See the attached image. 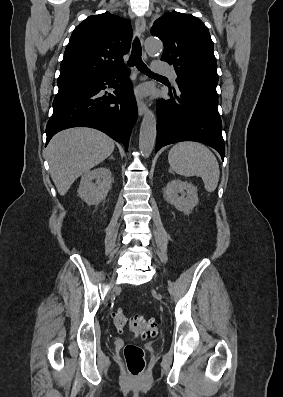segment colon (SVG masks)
<instances>
[{
  "label": "colon",
  "mask_w": 283,
  "mask_h": 397,
  "mask_svg": "<svg viewBox=\"0 0 283 397\" xmlns=\"http://www.w3.org/2000/svg\"><path fill=\"white\" fill-rule=\"evenodd\" d=\"M114 326L119 330H124L127 326L129 330L142 339L154 337L157 334V323L154 319H146L142 316H133L128 319L123 310L118 308L112 313ZM124 359L128 373L133 377H139L145 370L144 350L136 344H127L124 348Z\"/></svg>",
  "instance_id": "colon-1"
}]
</instances>
